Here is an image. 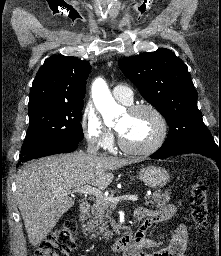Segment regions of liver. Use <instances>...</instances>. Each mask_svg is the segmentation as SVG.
I'll use <instances>...</instances> for the list:
<instances>
[{
	"label": "liver",
	"instance_id": "1",
	"mask_svg": "<svg viewBox=\"0 0 221 256\" xmlns=\"http://www.w3.org/2000/svg\"><path fill=\"white\" fill-rule=\"evenodd\" d=\"M135 162L80 151L26 163L16 176V201L29 242L38 245L73 207L68 192L86 184L105 189L113 181L111 171Z\"/></svg>",
	"mask_w": 221,
	"mask_h": 256
}]
</instances>
